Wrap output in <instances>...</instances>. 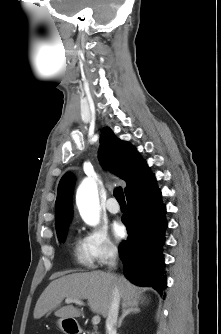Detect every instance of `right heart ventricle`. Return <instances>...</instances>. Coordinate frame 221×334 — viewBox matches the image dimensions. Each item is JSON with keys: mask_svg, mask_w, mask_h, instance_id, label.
<instances>
[{"mask_svg": "<svg viewBox=\"0 0 221 334\" xmlns=\"http://www.w3.org/2000/svg\"><path fill=\"white\" fill-rule=\"evenodd\" d=\"M73 256L79 265L91 267L93 261L88 253L84 240L75 239L73 243Z\"/></svg>", "mask_w": 221, "mask_h": 334, "instance_id": "1", "label": "right heart ventricle"}]
</instances>
